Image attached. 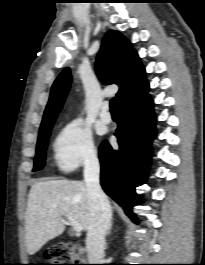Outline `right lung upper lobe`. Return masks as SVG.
<instances>
[{"mask_svg": "<svg viewBox=\"0 0 205 265\" xmlns=\"http://www.w3.org/2000/svg\"><path fill=\"white\" fill-rule=\"evenodd\" d=\"M96 70L104 83L119 86L116 96L120 110L139 102L148 94L145 68L130 42L116 30L106 33L97 57ZM70 84V70L65 68L52 85L40 130L54 124Z\"/></svg>", "mask_w": 205, "mask_h": 265, "instance_id": "obj_1", "label": "right lung upper lobe"}]
</instances>
